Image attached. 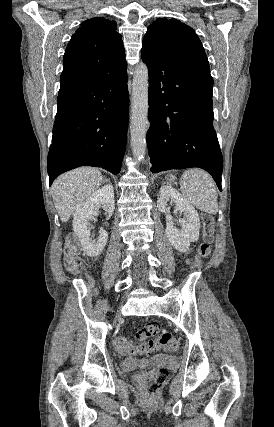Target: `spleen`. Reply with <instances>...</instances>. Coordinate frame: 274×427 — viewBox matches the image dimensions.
<instances>
[{
	"label": "spleen",
	"instance_id": "3e777b00",
	"mask_svg": "<svg viewBox=\"0 0 274 427\" xmlns=\"http://www.w3.org/2000/svg\"><path fill=\"white\" fill-rule=\"evenodd\" d=\"M184 200L206 214H217L216 186L209 174L203 170H186L180 180Z\"/></svg>",
	"mask_w": 274,
	"mask_h": 427
}]
</instances>
